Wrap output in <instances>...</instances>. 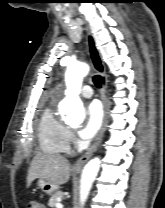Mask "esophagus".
I'll return each instance as SVG.
<instances>
[{
    "instance_id": "34e87169",
    "label": "esophagus",
    "mask_w": 165,
    "mask_h": 208,
    "mask_svg": "<svg viewBox=\"0 0 165 208\" xmlns=\"http://www.w3.org/2000/svg\"><path fill=\"white\" fill-rule=\"evenodd\" d=\"M86 33H87V45L89 49V54L92 62L93 68L100 74L101 76V100L103 103V109H104V120L103 125L97 135L96 141L93 143V145L86 151L84 155H82L73 165V170H81L84 164L90 159V157L94 154V152L98 149L106 129L107 124V113H108V105H107V88H108V80L105 73V66L102 61L101 55L99 53V50L96 46L94 36L92 32L89 30L88 27H86Z\"/></svg>"
}]
</instances>
